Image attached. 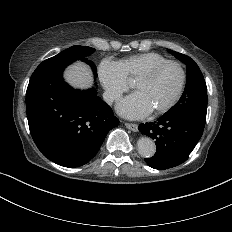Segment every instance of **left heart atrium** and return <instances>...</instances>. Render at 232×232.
I'll return each mask as SVG.
<instances>
[{"label": "left heart atrium", "mask_w": 232, "mask_h": 232, "mask_svg": "<svg viewBox=\"0 0 232 232\" xmlns=\"http://www.w3.org/2000/svg\"><path fill=\"white\" fill-rule=\"evenodd\" d=\"M116 111L122 117L140 119L151 114L153 108L147 103L141 93L135 91L118 103Z\"/></svg>", "instance_id": "left-heart-atrium-1"}]
</instances>
